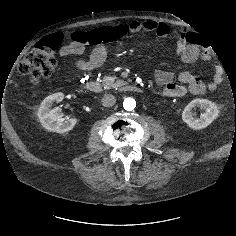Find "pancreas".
Wrapping results in <instances>:
<instances>
[{"label": "pancreas", "instance_id": "pancreas-1", "mask_svg": "<svg viewBox=\"0 0 236 236\" xmlns=\"http://www.w3.org/2000/svg\"><path fill=\"white\" fill-rule=\"evenodd\" d=\"M102 84L105 88L110 89V88H117L122 85H125L126 82L120 79L115 80V78H112L110 76H105L102 79Z\"/></svg>", "mask_w": 236, "mask_h": 236}]
</instances>
